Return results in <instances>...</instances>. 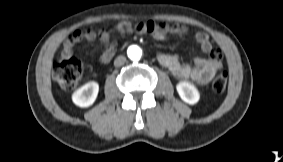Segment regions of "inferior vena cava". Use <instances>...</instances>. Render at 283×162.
Masks as SVG:
<instances>
[{"mask_svg": "<svg viewBox=\"0 0 283 162\" xmlns=\"http://www.w3.org/2000/svg\"><path fill=\"white\" fill-rule=\"evenodd\" d=\"M126 62V58L122 55L116 57V59L114 60V65L116 67H119L121 65H123Z\"/></svg>", "mask_w": 283, "mask_h": 162, "instance_id": "1", "label": "inferior vena cava"}]
</instances>
